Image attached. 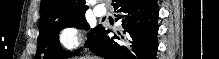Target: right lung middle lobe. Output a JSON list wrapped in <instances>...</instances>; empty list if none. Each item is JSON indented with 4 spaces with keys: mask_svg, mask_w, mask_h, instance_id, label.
<instances>
[{
    "mask_svg": "<svg viewBox=\"0 0 219 59\" xmlns=\"http://www.w3.org/2000/svg\"><path fill=\"white\" fill-rule=\"evenodd\" d=\"M66 27H77L88 30L90 26L87 23L84 14L49 22L45 26L39 28L37 53L34 59H65L72 56L73 53L63 52L59 47L58 33ZM100 29L101 26L91 29L85 47H88L95 41ZM79 51L80 50H76L74 54H77Z\"/></svg>",
    "mask_w": 219,
    "mask_h": 59,
    "instance_id": "right-lung-middle-lobe-1",
    "label": "right lung middle lobe"
}]
</instances>
